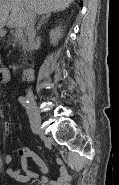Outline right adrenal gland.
Masks as SVG:
<instances>
[{
    "instance_id": "right-adrenal-gland-1",
    "label": "right adrenal gland",
    "mask_w": 119,
    "mask_h": 185,
    "mask_svg": "<svg viewBox=\"0 0 119 185\" xmlns=\"http://www.w3.org/2000/svg\"><path fill=\"white\" fill-rule=\"evenodd\" d=\"M49 16H50V13L42 15V17H41V19H40V21H39V23L37 25V29H36L37 32L40 30L41 25L49 18Z\"/></svg>"
}]
</instances>
